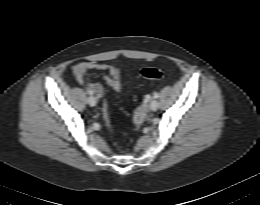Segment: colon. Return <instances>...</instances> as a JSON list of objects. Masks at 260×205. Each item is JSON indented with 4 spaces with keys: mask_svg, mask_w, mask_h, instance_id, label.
Instances as JSON below:
<instances>
[{
    "mask_svg": "<svg viewBox=\"0 0 260 205\" xmlns=\"http://www.w3.org/2000/svg\"><path fill=\"white\" fill-rule=\"evenodd\" d=\"M141 76L145 79H150V80H161L164 78L165 73L161 68L158 67H146L143 68L140 72ZM109 82L108 80H104L103 82L100 83V87L103 90H106L109 86ZM108 104L107 102H104L103 106H102V113H103V119H104V123L106 125V127L111 130V126L108 120Z\"/></svg>",
    "mask_w": 260,
    "mask_h": 205,
    "instance_id": "5ec220e1",
    "label": "colon"
}]
</instances>
